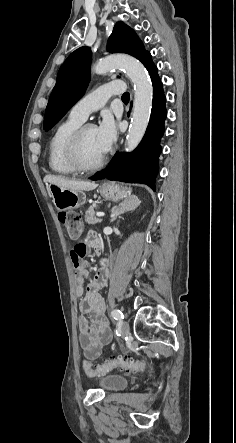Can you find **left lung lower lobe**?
I'll return each instance as SVG.
<instances>
[{
	"label": "left lung lower lobe",
	"mask_w": 236,
	"mask_h": 443,
	"mask_svg": "<svg viewBox=\"0 0 236 443\" xmlns=\"http://www.w3.org/2000/svg\"><path fill=\"white\" fill-rule=\"evenodd\" d=\"M142 63L148 70L153 84L152 112L146 133L132 153H116L110 165L97 172L91 179L108 178L128 183H144L155 190V177L158 173V159L161 152L160 139L164 133L166 118V99L157 67L149 52Z\"/></svg>",
	"instance_id": "0a47b994"
}]
</instances>
